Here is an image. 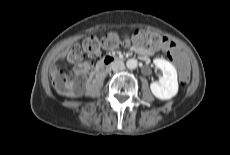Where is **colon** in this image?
I'll list each match as a JSON object with an SVG mask.
<instances>
[{
  "instance_id": "5ec220e1",
  "label": "colon",
  "mask_w": 230,
  "mask_h": 155,
  "mask_svg": "<svg viewBox=\"0 0 230 155\" xmlns=\"http://www.w3.org/2000/svg\"><path fill=\"white\" fill-rule=\"evenodd\" d=\"M124 43H135L147 47H163L172 61L178 66V75L183 85H188L190 81V68L188 56L183 55L177 45L167 38L149 31H136L124 39ZM122 41L115 32L107 33L102 39L90 36L86 38L82 45L74 46L68 53V60L75 64V69L71 77L57 67L51 69L52 84L60 93L72 94L86 86L87 76L91 70L90 65L83 62L85 55L97 56L101 48L114 50L121 46Z\"/></svg>"
}]
</instances>
